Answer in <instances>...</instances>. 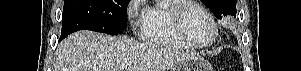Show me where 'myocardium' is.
Here are the masks:
<instances>
[{
	"label": "myocardium",
	"mask_w": 301,
	"mask_h": 71,
	"mask_svg": "<svg viewBox=\"0 0 301 71\" xmlns=\"http://www.w3.org/2000/svg\"><path fill=\"white\" fill-rule=\"evenodd\" d=\"M191 8H198L200 9L211 21L214 29V34L212 39L205 44H200L195 41H193L187 32L186 29V24H185V17L186 13L191 9ZM170 10V16L174 25V29L177 33V35L180 37L182 41H184L186 44L193 48H199V49H206L211 47L212 45L215 44L217 38H218V24L212 15V13L207 10L202 4L195 2V1H181L179 3H176L169 8Z\"/></svg>",
	"instance_id": "obj_1"
}]
</instances>
